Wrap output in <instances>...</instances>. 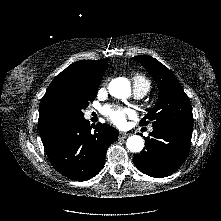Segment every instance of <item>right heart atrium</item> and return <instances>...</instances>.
<instances>
[{
	"label": "right heart atrium",
	"mask_w": 221,
	"mask_h": 221,
	"mask_svg": "<svg viewBox=\"0 0 221 221\" xmlns=\"http://www.w3.org/2000/svg\"><path fill=\"white\" fill-rule=\"evenodd\" d=\"M106 85V81L105 82H103V86H105Z\"/></svg>",
	"instance_id": "1"
}]
</instances>
